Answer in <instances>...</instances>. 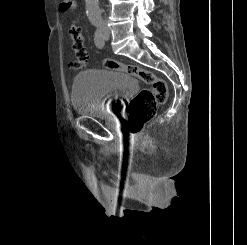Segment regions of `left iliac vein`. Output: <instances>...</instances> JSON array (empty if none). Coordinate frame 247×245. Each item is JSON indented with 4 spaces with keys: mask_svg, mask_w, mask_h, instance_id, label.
I'll use <instances>...</instances> for the list:
<instances>
[{
    "mask_svg": "<svg viewBox=\"0 0 247 245\" xmlns=\"http://www.w3.org/2000/svg\"><path fill=\"white\" fill-rule=\"evenodd\" d=\"M103 37L105 40H109V38H110V31L107 27H105L103 30Z\"/></svg>",
    "mask_w": 247,
    "mask_h": 245,
    "instance_id": "left-iliac-vein-1",
    "label": "left iliac vein"
}]
</instances>
